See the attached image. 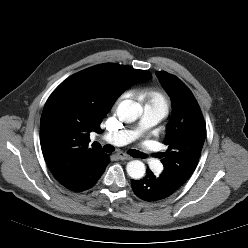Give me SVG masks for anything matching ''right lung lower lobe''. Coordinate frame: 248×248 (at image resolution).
Returning <instances> with one entry per match:
<instances>
[{
    "label": "right lung lower lobe",
    "instance_id": "right-lung-lower-lobe-1",
    "mask_svg": "<svg viewBox=\"0 0 248 248\" xmlns=\"http://www.w3.org/2000/svg\"><path fill=\"white\" fill-rule=\"evenodd\" d=\"M109 162L107 154L89 159L77 170L75 177L63 186L73 192L90 189L99 180Z\"/></svg>",
    "mask_w": 248,
    "mask_h": 248
}]
</instances>
